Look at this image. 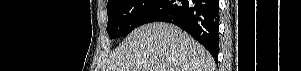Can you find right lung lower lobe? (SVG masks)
<instances>
[{
	"mask_svg": "<svg viewBox=\"0 0 301 71\" xmlns=\"http://www.w3.org/2000/svg\"><path fill=\"white\" fill-rule=\"evenodd\" d=\"M154 21L179 26L200 42L218 63V0H158L143 15L139 26Z\"/></svg>",
	"mask_w": 301,
	"mask_h": 71,
	"instance_id": "98d812e1",
	"label": "right lung lower lobe"
}]
</instances>
